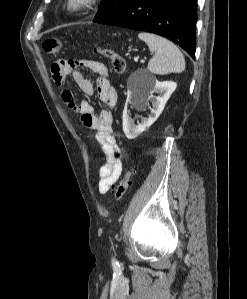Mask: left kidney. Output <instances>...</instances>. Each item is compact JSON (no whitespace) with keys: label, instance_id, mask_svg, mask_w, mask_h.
Wrapping results in <instances>:
<instances>
[{"label":"left kidney","instance_id":"obj_1","mask_svg":"<svg viewBox=\"0 0 247 299\" xmlns=\"http://www.w3.org/2000/svg\"><path fill=\"white\" fill-rule=\"evenodd\" d=\"M177 84L173 81H156L155 84L145 93H141L135 89H130L127 94V102L133 107L143 109L149 106V101L152 102L151 115L149 118H144L138 125L129 117L127 108L123 111V131L128 139H135L138 135L149 128L162 113L168 99L175 91ZM153 93H158L159 96L154 97Z\"/></svg>","mask_w":247,"mask_h":299}]
</instances>
